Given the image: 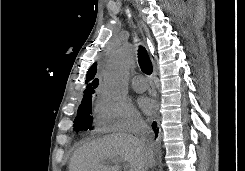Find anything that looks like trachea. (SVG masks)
<instances>
[{
	"instance_id": "obj_1",
	"label": "trachea",
	"mask_w": 245,
	"mask_h": 171,
	"mask_svg": "<svg viewBox=\"0 0 245 171\" xmlns=\"http://www.w3.org/2000/svg\"><path fill=\"white\" fill-rule=\"evenodd\" d=\"M138 62L142 72L147 75L152 73V63L146 49L143 46H139L138 49Z\"/></svg>"
}]
</instances>
